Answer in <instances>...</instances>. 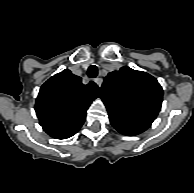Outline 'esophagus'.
Masks as SVG:
<instances>
[{
    "label": "esophagus",
    "instance_id": "esophagus-1",
    "mask_svg": "<svg viewBox=\"0 0 194 193\" xmlns=\"http://www.w3.org/2000/svg\"><path fill=\"white\" fill-rule=\"evenodd\" d=\"M95 83L98 85V87L100 88L102 86L103 80L102 78H96L95 79Z\"/></svg>",
    "mask_w": 194,
    "mask_h": 193
}]
</instances>
